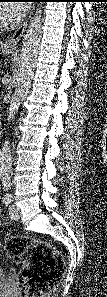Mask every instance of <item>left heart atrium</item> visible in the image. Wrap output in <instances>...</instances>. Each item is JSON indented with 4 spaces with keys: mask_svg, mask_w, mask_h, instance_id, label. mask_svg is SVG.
Masks as SVG:
<instances>
[{
    "mask_svg": "<svg viewBox=\"0 0 107 297\" xmlns=\"http://www.w3.org/2000/svg\"><path fill=\"white\" fill-rule=\"evenodd\" d=\"M28 6L24 3L10 4L5 9L4 15L9 23L19 21L27 12Z\"/></svg>",
    "mask_w": 107,
    "mask_h": 297,
    "instance_id": "obj_1",
    "label": "left heart atrium"
}]
</instances>
